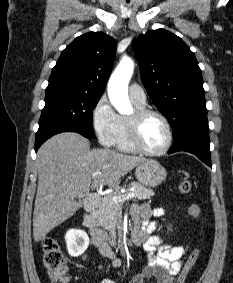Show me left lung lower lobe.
Listing matches in <instances>:
<instances>
[{
  "instance_id": "left-lung-lower-lobe-1",
  "label": "left lung lower lobe",
  "mask_w": 233,
  "mask_h": 283,
  "mask_svg": "<svg viewBox=\"0 0 233 283\" xmlns=\"http://www.w3.org/2000/svg\"><path fill=\"white\" fill-rule=\"evenodd\" d=\"M210 142L207 130H194L175 140L173 147L168 152L186 151L196 155L201 161L211 167L209 150Z\"/></svg>"
}]
</instances>
